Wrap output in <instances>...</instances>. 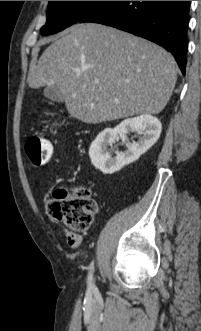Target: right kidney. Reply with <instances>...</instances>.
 Returning a JSON list of instances; mask_svg holds the SVG:
<instances>
[{
	"label": "right kidney",
	"instance_id": "ca27d5eb",
	"mask_svg": "<svg viewBox=\"0 0 201 331\" xmlns=\"http://www.w3.org/2000/svg\"><path fill=\"white\" fill-rule=\"evenodd\" d=\"M161 130V122L149 114L126 119L113 129L106 128L97 135L89 148L91 162L104 174H113L150 149L158 140ZM129 132H137L141 137L138 141L127 140V149L123 152L116 150L115 156H112L107 146L112 148L119 135Z\"/></svg>",
	"mask_w": 201,
	"mask_h": 331
}]
</instances>
